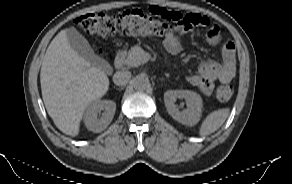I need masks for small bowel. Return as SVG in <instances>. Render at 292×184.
<instances>
[{
    "instance_id": "small-bowel-1",
    "label": "small bowel",
    "mask_w": 292,
    "mask_h": 184,
    "mask_svg": "<svg viewBox=\"0 0 292 184\" xmlns=\"http://www.w3.org/2000/svg\"><path fill=\"white\" fill-rule=\"evenodd\" d=\"M191 21L190 27L199 26L206 29V41L215 45L221 39L220 29L210 19L202 14L191 13L187 15ZM188 29V28H187ZM185 29V30H187ZM165 49L172 55H178L183 50L182 33L170 32L164 39ZM236 73V51L232 42H227L222 50V62L201 60L198 72L187 77V81L197 87L204 95H210L216 82L227 84L231 82Z\"/></svg>"
}]
</instances>
